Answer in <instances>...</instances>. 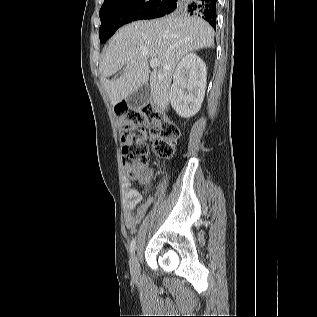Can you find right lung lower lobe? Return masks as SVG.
<instances>
[{
	"label": "right lung lower lobe",
	"instance_id": "obj_1",
	"mask_svg": "<svg viewBox=\"0 0 317 317\" xmlns=\"http://www.w3.org/2000/svg\"><path fill=\"white\" fill-rule=\"evenodd\" d=\"M178 0H167L166 4L159 6L147 17V19L162 17V14ZM216 3L217 0H185L184 10L191 14H197L208 21L216 29Z\"/></svg>",
	"mask_w": 317,
	"mask_h": 317
}]
</instances>
